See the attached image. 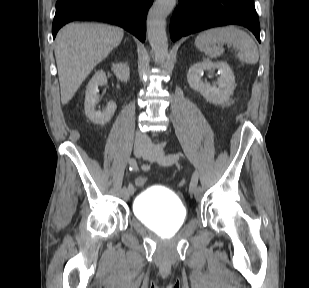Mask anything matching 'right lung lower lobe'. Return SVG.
Segmentation results:
<instances>
[{
  "label": "right lung lower lobe",
  "mask_w": 309,
  "mask_h": 288,
  "mask_svg": "<svg viewBox=\"0 0 309 288\" xmlns=\"http://www.w3.org/2000/svg\"><path fill=\"white\" fill-rule=\"evenodd\" d=\"M153 0H58L52 25L58 30L74 20H97L113 23L145 41L146 16Z\"/></svg>",
  "instance_id": "1"
}]
</instances>
